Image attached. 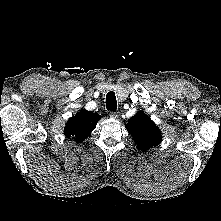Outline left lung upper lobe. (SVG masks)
I'll list each match as a JSON object with an SVG mask.
<instances>
[{
	"mask_svg": "<svg viewBox=\"0 0 221 221\" xmlns=\"http://www.w3.org/2000/svg\"><path fill=\"white\" fill-rule=\"evenodd\" d=\"M137 149L146 151L161 142V131L142 111L131 117L126 124Z\"/></svg>",
	"mask_w": 221,
	"mask_h": 221,
	"instance_id": "1",
	"label": "left lung upper lobe"
}]
</instances>
